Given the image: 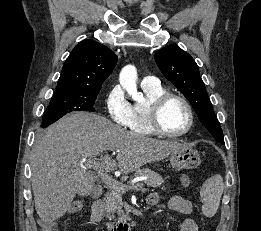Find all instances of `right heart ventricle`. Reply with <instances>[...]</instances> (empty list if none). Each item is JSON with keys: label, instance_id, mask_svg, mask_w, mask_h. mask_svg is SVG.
Listing matches in <instances>:
<instances>
[{"label": "right heart ventricle", "instance_id": "obj_1", "mask_svg": "<svg viewBox=\"0 0 261 231\" xmlns=\"http://www.w3.org/2000/svg\"><path fill=\"white\" fill-rule=\"evenodd\" d=\"M145 99L131 105L128 128L131 132L142 136H153L156 133L148 120L149 105L166 91L161 85L143 87Z\"/></svg>", "mask_w": 261, "mask_h": 231}]
</instances>
